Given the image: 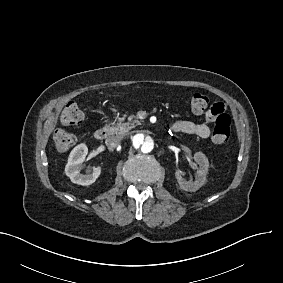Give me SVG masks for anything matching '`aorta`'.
<instances>
[{
  "label": "aorta",
  "mask_w": 283,
  "mask_h": 283,
  "mask_svg": "<svg viewBox=\"0 0 283 283\" xmlns=\"http://www.w3.org/2000/svg\"><path fill=\"white\" fill-rule=\"evenodd\" d=\"M155 148V140L148 132L140 131L131 136L130 151L136 155H147Z\"/></svg>",
  "instance_id": "obj_1"
}]
</instances>
